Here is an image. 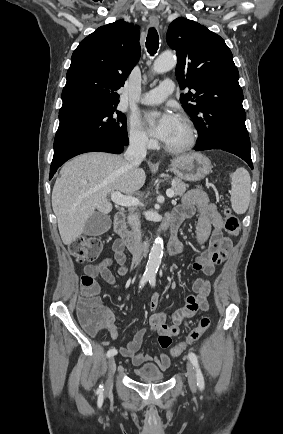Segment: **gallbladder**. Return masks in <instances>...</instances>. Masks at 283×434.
Returning <instances> with one entry per match:
<instances>
[{"label":"gallbladder","instance_id":"1","mask_svg":"<svg viewBox=\"0 0 283 434\" xmlns=\"http://www.w3.org/2000/svg\"><path fill=\"white\" fill-rule=\"evenodd\" d=\"M110 227V216L96 212L86 221L83 233L88 236H98L107 232Z\"/></svg>","mask_w":283,"mask_h":434}]
</instances>
